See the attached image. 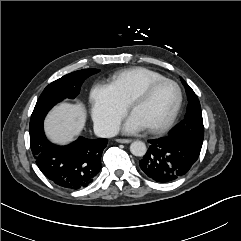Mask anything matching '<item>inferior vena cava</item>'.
I'll list each match as a JSON object with an SVG mask.
<instances>
[{"mask_svg": "<svg viewBox=\"0 0 241 241\" xmlns=\"http://www.w3.org/2000/svg\"><path fill=\"white\" fill-rule=\"evenodd\" d=\"M119 132V125L118 124H102L96 123L94 125V133L98 137L102 138H110L117 135Z\"/></svg>", "mask_w": 241, "mask_h": 241, "instance_id": "602c4592", "label": "inferior vena cava"}]
</instances>
